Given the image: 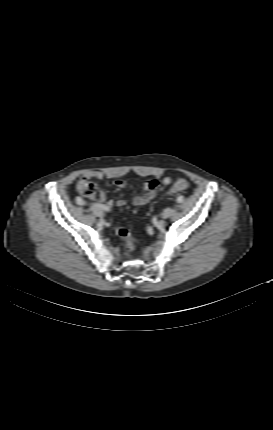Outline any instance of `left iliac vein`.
Wrapping results in <instances>:
<instances>
[{"label": "left iliac vein", "mask_w": 273, "mask_h": 430, "mask_svg": "<svg viewBox=\"0 0 273 430\" xmlns=\"http://www.w3.org/2000/svg\"><path fill=\"white\" fill-rule=\"evenodd\" d=\"M171 212H172L171 208H166L161 214L162 218L166 219V218L170 217Z\"/></svg>", "instance_id": "left-iliac-vein-1"}]
</instances>
